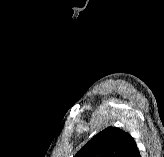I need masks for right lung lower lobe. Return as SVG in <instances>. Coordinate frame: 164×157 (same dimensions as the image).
<instances>
[{"mask_svg": "<svg viewBox=\"0 0 164 157\" xmlns=\"http://www.w3.org/2000/svg\"><path fill=\"white\" fill-rule=\"evenodd\" d=\"M130 157H141L140 152L138 150V148L136 147V149L131 153Z\"/></svg>", "mask_w": 164, "mask_h": 157, "instance_id": "1", "label": "right lung lower lobe"}]
</instances>
